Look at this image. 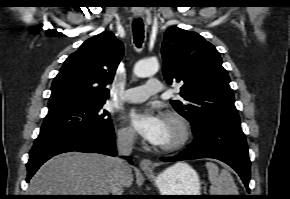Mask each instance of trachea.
Wrapping results in <instances>:
<instances>
[{
	"label": "trachea",
	"instance_id": "3493384b",
	"mask_svg": "<svg viewBox=\"0 0 290 199\" xmlns=\"http://www.w3.org/2000/svg\"><path fill=\"white\" fill-rule=\"evenodd\" d=\"M133 37L134 43L139 48L141 47L144 39V26L142 19L138 18L133 21Z\"/></svg>",
	"mask_w": 290,
	"mask_h": 199
}]
</instances>
